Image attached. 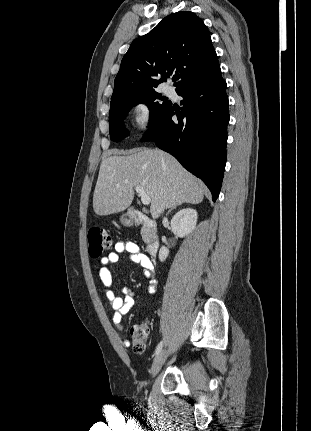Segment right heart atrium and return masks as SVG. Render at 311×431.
<instances>
[{"mask_svg": "<svg viewBox=\"0 0 311 431\" xmlns=\"http://www.w3.org/2000/svg\"><path fill=\"white\" fill-rule=\"evenodd\" d=\"M132 123L137 131L146 132L150 129L154 120L151 103L145 98L136 99L129 108Z\"/></svg>", "mask_w": 311, "mask_h": 431, "instance_id": "1", "label": "right heart atrium"}]
</instances>
